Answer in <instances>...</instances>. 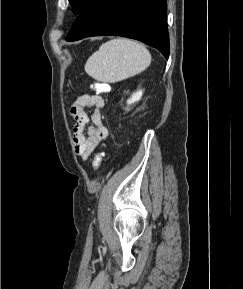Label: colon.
<instances>
[{
	"mask_svg": "<svg viewBox=\"0 0 243 289\" xmlns=\"http://www.w3.org/2000/svg\"><path fill=\"white\" fill-rule=\"evenodd\" d=\"M96 91H99V92H104L107 90V86L103 83H95L93 84L92 86ZM102 158H103V152H99L95 155L94 159H93V168L95 170L99 169L100 168V165H101V161H102Z\"/></svg>",
	"mask_w": 243,
	"mask_h": 289,
	"instance_id": "obj_1",
	"label": "colon"
}]
</instances>
